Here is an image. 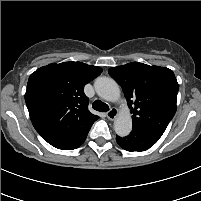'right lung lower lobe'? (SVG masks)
<instances>
[{"instance_id": "right-lung-lower-lobe-1", "label": "right lung lower lobe", "mask_w": 201, "mask_h": 201, "mask_svg": "<svg viewBox=\"0 0 201 201\" xmlns=\"http://www.w3.org/2000/svg\"><path fill=\"white\" fill-rule=\"evenodd\" d=\"M88 131L82 135L64 138V139H48L46 140L52 146L62 150H72L78 148L86 139Z\"/></svg>"}]
</instances>
